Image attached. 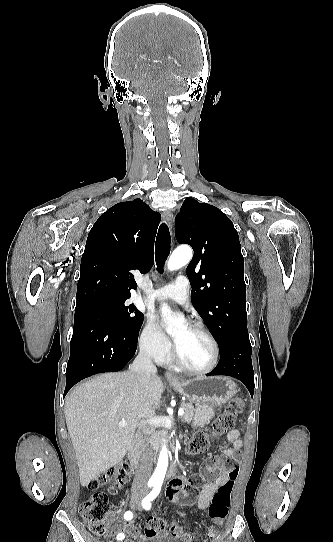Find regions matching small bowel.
Here are the masks:
<instances>
[{
	"mask_svg": "<svg viewBox=\"0 0 333 542\" xmlns=\"http://www.w3.org/2000/svg\"><path fill=\"white\" fill-rule=\"evenodd\" d=\"M227 440L231 443V447L225 448L223 450L222 456L223 457H232L233 461L236 463H239L242 461L243 456L239 451L243 447V441L240 439V431L237 428L231 429L227 433ZM212 461H218L219 455L218 454H212L211 455ZM205 473L211 474L215 473L217 475L216 479L214 481H210L204 485L202 488L198 499H197V506L199 509L203 510L206 509L214 495V493L217 491V489L228 483L234 481V479H231L228 475L225 473L220 472L219 470H215L211 467H206ZM187 486V479L185 476L180 474H174L170 477L168 480L166 487H165V495L167 499L177 505H189L192 500L190 498V495L188 491L186 490ZM173 528H176L178 530H181L178 526L173 525ZM117 530L119 533H133L135 537L139 539V542H144V537L139 535L137 532L133 531V527L131 524H121L117 527ZM116 529H112L110 531V536L113 538L118 534V531ZM182 531V530H181ZM182 533H184L182 531ZM187 536H190L187 533H184ZM174 537V536H173ZM178 539H181V535L176 537ZM183 542V541H182Z\"/></svg>",
	"mask_w": 333,
	"mask_h": 542,
	"instance_id": "small-bowel-1",
	"label": "small bowel"
}]
</instances>
